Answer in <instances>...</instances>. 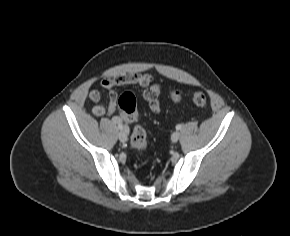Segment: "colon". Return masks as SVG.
<instances>
[{"label": "colon", "mask_w": 290, "mask_h": 236, "mask_svg": "<svg viewBox=\"0 0 290 236\" xmlns=\"http://www.w3.org/2000/svg\"><path fill=\"white\" fill-rule=\"evenodd\" d=\"M171 99L174 102L182 100L180 91H172ZM191 101L198 107H203L207 103V96L204 92L196 91L191 96ZM117 104L119 109L127 116L130 122L137 121L136 98L132 92L122 93ZM131 147L136 151H144L148 145V136L146 130L141 125H135L130 138Z\"/></svg>", "instance_id": "obj_1"}]
</instances>
